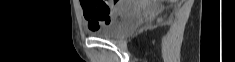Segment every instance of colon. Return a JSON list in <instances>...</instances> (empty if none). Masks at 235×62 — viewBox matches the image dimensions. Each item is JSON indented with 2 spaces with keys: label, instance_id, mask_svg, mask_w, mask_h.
<instances>
[{
  "label": "colon",
  "instance_id": "colon-1",
  "mask_svg": "<svg viewBox=\"0 0 235 62\" xmlns=\"http://www.w3.org/2000/svg\"><path fill=\"white\" fill-rule=\"evenodd\" d=\"M82 2L85 15L97 24L107 23L110 20V9L105 1L84 0Z\"/></svg>",
  "mask_w": 235,
  "mask_h": 62
}]
</instances>
